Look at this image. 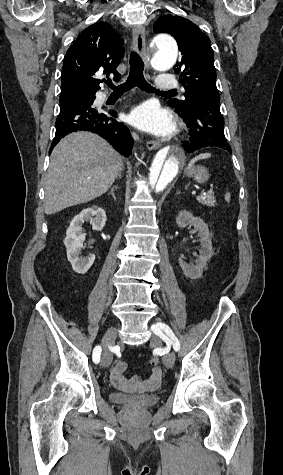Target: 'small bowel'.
I'll list each match as a JSON object with an SVG mask.
<instances>
[{"instance_id":"c3829d8e","label":"small bowel","mask_w":283,"mask_h":475,"mask_svg":"<svg viewBox=\"0 0 283 475\" xmlns=\"http://www.w3.org/2000/svg\"><path fill=\"white\" fill-rule=\"evenodd\" d=\"M127 369V364L124 360H119L111 369L110 372V382L112 386L118 390L122 391H128L130 388V384L135 385L138 382L137 377L132 376L130 379H127L124 375L125 371ZM162 378V371L161 368L156 366L153 369L152 374L148 378V381L153 384L157 385ZM142 383H146L147 379L142 378L141 379Z\"/></svg>"}]
</instances>
